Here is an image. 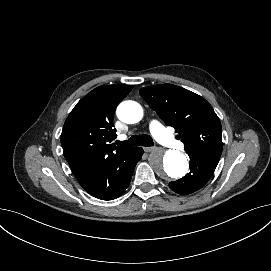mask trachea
Instances as JSON below:
<instances>
[{"label": "trachea", "mask_w": 271, "mask_h": 271, "mask_svg": "<svg viewBox=\"0 0 271 271\" xmlns=\"http://www.w3.org/2000/svg\"><path fill=\"white\" fill-rule=\"evenodd\" d=\"M116 145L120 147H133V146H144L151 147L154 145L153 139L150 135H133L126 141H116Z\"/></svg>", "instance_id": "trachea-1"}]
</instances>
